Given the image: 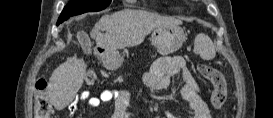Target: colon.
I'll use <instances>...</instances> for the list:
<instances>
[{
	"label": "colon",
	"instance_id": "1",
	"mask_svg": "<svg viewBox=\"0 0 273 118\" xmlns=\"http://www.w3.org/2000/svg\"><path fill=\"white\" fill-rule=\"evenodd\" d=\"M197 70L202 77L208 79L213 85L211 106L214 109L221 108L227 97V84L224 76L219 70L207 64H199ZM96 80L97 76L94 72H88L85 76L87 85H94ZM47 85L44 78H39L35 84V115L37 118H50L52 114V105L47 96Z\"/></svg>",
	"mask_w": 273,
	"mask_h": 118
}]
</instances>
